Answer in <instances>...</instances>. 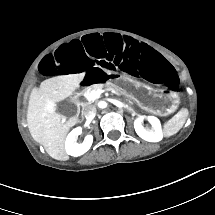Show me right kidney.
Segmentation results:
<instances>
[{"label":"right kidney","mask_w":215,"mask_h":215,"mask_svg":"<svg viewBox=\"0 0 215 215\" xmlns=\"http://www.w3.org/2000/svg\"><path fill=\"white\" fill-rule=\"evenodd\" d=\"M82 133V128L77 127L73 129L67 136L65 141V150L68 155L78 157L86 153L93 142V136L87 135L83 143H76V137Z\"/></svg>","instance_id":"1"}]
</instances>
